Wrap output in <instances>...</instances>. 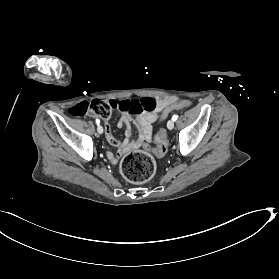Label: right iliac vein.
Returning <instances> with one entry per match:
<instances>
[{"label": "right iliac vein", "mask_w": 279, "mask_h": 279, "mask_svg": "<svg viewBox=\"0 0 279 279\" xmlns=\"http://www.w3.org/2000/svg\"><path fill=\"white\" fill-rule=\"evenodd\" d=\"M97 131H98L99 134H102L103 133V127L101 125H98Z\"/></svg>", "instance_id": "63e3f726"}]
</instances>
